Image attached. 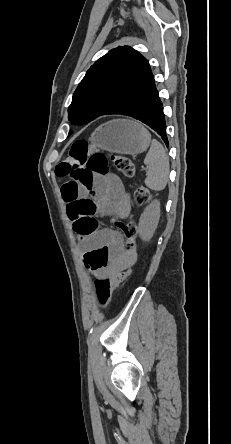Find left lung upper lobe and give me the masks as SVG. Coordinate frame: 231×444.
Masks as SVG:
<instances>
[{"label": "left lung upper lobe", "instance_id": "obj_1", "mask_svg": "<svg viewBox=\"0 0 231 444\" xmlns=\"http://www.w3.org/2000/svg\"><path fill=\"white\" fill-rule=\"evenodd\" d=\"M151 74L148 61L129 46L112 49L87 71L73 94L68 119L83 122L116 114Z\"/></svg>", "mask_w": 231, "mask_h": 444}]
</instances>
